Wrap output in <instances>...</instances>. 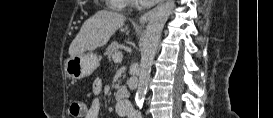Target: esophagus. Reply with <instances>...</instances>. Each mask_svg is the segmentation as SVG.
Returning a JSON list of instances; mask_svg holds the SVG:
<instances>
[{
  "label": "esophagus",
  "instance_id": "1",
  "mask_svg": "<svg viewBox=\"0 0 273 118\" xmlns=\"http://www.w3.org/2000/svg\"><path fill=\"white\" fill-rule=\"evenodd\" d=\"M163 2H164V0H161L159 2L158 6L161 5ZM158 6L153 8L152 10L146 12L143 16H141V18L139 19V23L140 24L147 23L150 20V18L152 17V15L154 14V12L156 11V9L158 8Z\"/></svg>",
  "mask_w": 273,
  "mask_h": 118
}]
</instances>
